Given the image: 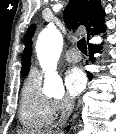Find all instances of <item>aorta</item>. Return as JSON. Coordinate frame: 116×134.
<instances>
[{
    "label": "aorta",
    "mask_w": 116,
    "mask_h": 134,
    "mask_svg": "<svg viewBox=\"0 0 116 134\" xmlns=\"http://www.w3.org/2000/svg\"><path fill=\"white\" fill-rule=\"evenodd\" d=\"M62 45V35L54 25H48L37 39V57L45 71L44 90L52 95L64 94L62 79L55 70V63L62 51Z\"/></svg>",
    "instance_id": "1"
}]
</instances>
